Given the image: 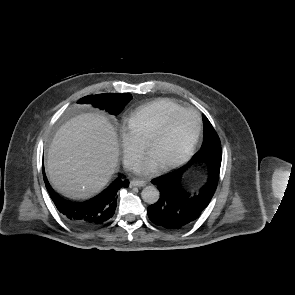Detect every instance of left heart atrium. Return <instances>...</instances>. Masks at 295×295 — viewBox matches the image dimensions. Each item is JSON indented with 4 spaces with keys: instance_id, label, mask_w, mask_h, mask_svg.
I'll return each instance as SVG.
<instances>
[{
    "instance_id": "left-heart-atrium-1",
    "label": "left heart atrium",
    "mask_w": 295,
    "mask_h": 295,
    "mask_svg": "<svg viewBox=\"0 0 295 295\" xmlns=\"http://www.w3.org/2000/svg\"><path fill=\"white\" fill-rule=\"evenodd\" d=\"M159 167L158 163L151 156H148L137 168V171L142 173H151L157 170Z\"/></svg>"
}]
</instances>
